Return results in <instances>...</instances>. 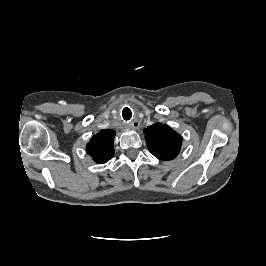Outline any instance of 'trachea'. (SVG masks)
<instances>
[{"mask_svg": "<svg viewBox=\"0 0 266 266\" xmlns=\"http://www.w3.org/2000/svg\"><path fill=\"white\" fill-rule=\"evenodd\" d=\"M122 117L124 120L128 121L132 117V112L128 107H125L122 111Z\"/></svg>", "mask_w": 266, "mask_h": 266, "instance_id": "3493384b", "label": "trachea"}]
</instances>
